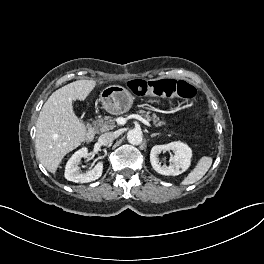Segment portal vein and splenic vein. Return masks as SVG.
<instances>
[{
	"label": "portal vein and splenic vein",
	"instance_id": "obj_1",
	"mask_svg": "<svg viewBox=\"0 0 264 264\" xmlns=\"http://www.w3.org/2000/svg\"><path fill=\"white\" fill-rule=\"evenodd\" d=\"M128 119H136V120L141 121L142 123H144L145 125H147L149 127L151 126V124L145 118L141 117L138 114H131V115H129L126 118H121L119 120V123L123 125V124H125L127 122Z\"/></svg>",
	"mask_w": 264,
	"mask_h": 264
}]
</instances>
